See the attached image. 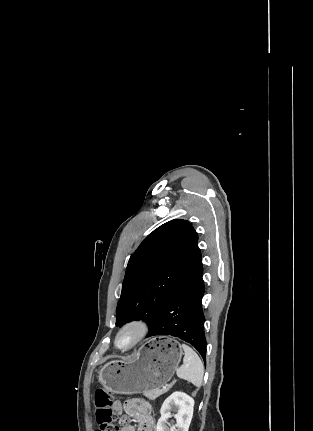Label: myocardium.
I'll list each match as a JSON object with an SVG mask.
<instances>
[{"label": "myocardium", "mask_w": 313, "mask_h": 431, "mask_svg": "<svg viewBox=\"0 0 313 431\" xmlns=\"http://www.w3.org/2000/svg\"><path fill=\"white\" fill-rule=\"evenodd\" d=\"M129 329L135 330L136 336L132 341V343H130L128 346L120 347L118 345V339L123 332ZM149 332H150V325L148 321H146L145 319L136 318V319L129 320L126 323H124L117 331L114 338V345L120 351L131 350L135 348L137 345H139L148 336Z\"/></svg>", "instance_id": "1"}]
</instances>
